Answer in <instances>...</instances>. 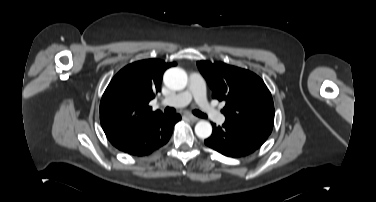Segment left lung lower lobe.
<instances>
[{"mask_svg":"<svg viewBox=\"0 0 376 202\" xmlns=\"http://www.w3.org/2000/svg\"><path fill=\"white\" fill-rule=\"evenodd\" d=\"M213 126L212 135L204 142L210 148L229 157L246 156L257 150L269 134L225 121L220 127Z\"/></svg>","mask_w":376,"mask_h":202,"instance_id":"left-lung-lower-lobe-1","label":"left lung lower lobe"}]
</instances>
